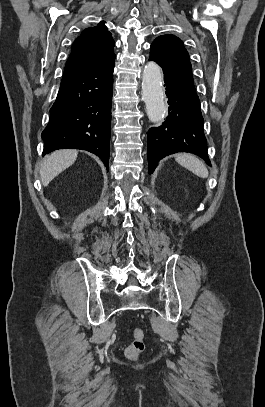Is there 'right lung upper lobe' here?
<instances>
[{
  "label": "right lung upper lobe",
  "instance_id": "right-lung-upper-lobe-1",
  "mask_svg": "<svg viewBox=\"0 0 265 407\" xmlns=\"http://www.w3.org/2000/svg\"><path fill=\"white\" fill-rule=\"evenodd\" d=\"M114 45L115 42L104 21L85 29L72 44V52L65 65L63 79L77 75L114 55Z\"/></svg>",
  "mask_w": 265,
  "mask_h": 407
}]
</instances>
